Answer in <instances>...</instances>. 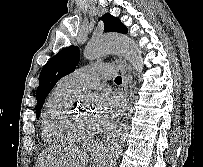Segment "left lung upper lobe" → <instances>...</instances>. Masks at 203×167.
Masks as SVG:
<instances>
[{"mask_svg": "<svg viewBox=\"0 0 203 167\" xmlns=\"http://www.w3.org/2000/svg\"><path fill=\"white\" fill-rule=\"evenodd\" d=\"M101 19L104 22L105 32L128 33L127 27L122 24L117 17L105 14ZM79 60V49L75 46H70L62 49L59 53L53 56L42 68L36 93L37 105L35 110L37 118L40 115V110L43 107L49 92L53 89L59 79L75 70Z\"/></svg>", "mask_w": 203, "mask_h": 167, "instance_id": "1", "label": "left lung upper lobe"}]
</instances>
